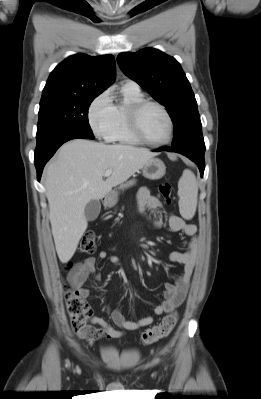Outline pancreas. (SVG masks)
<instances>
[{
	"label": "pancreas",
	"mask_w": 261,
	"mask_h": 399,
	"mask_svg": "<svg viewBox=\"0 0 261 399\" xmlns=\"http://www.w3.org/2000/svg\"><path fill=\"white\" fill-rule=\"evenodd\" d=\"M134 184H135V180H130L127 183L123 184L120 188L121 189L128 188V187H130V186H132Z\"/></svg>",
	"instance_id": "obj_1"
}]
</instances>
